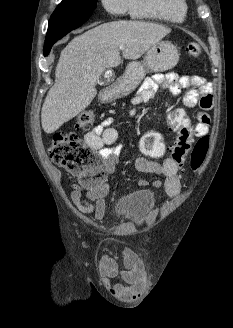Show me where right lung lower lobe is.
Masks as SVG:
<instances>
[{
	"instance_id": "98d812e1",
	"label": "right lung lower lobe",
	"mask_w": 233,
	"mask_h": 328,
	"mask_svg": "<svg viewBox=\"0 0 233 328\" xmlns=\"http://www.w3.org/2000/svg\"><path fill=\"white\" fill-rule=\"evenodd\" d=\"M88 18H52L49 21L48 32L44 45V56H47L52 45L71 30L81 26Z\"/></svg>"
}]
</instances>
